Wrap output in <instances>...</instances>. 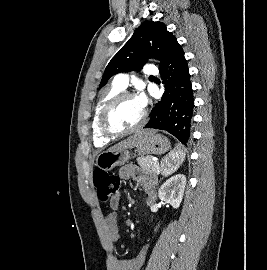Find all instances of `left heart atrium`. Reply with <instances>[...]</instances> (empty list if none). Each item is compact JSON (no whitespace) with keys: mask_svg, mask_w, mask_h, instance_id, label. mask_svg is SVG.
Instances as JSON below:
<instances>
[{"mask_svg":"<svg viewBox=\"0 0 267 270\" xmlns=\"http://www.w3.org/2000/svg\"><path fill=\"white\" fill-rule=\"evenodd\" d=\"M135 100L138 103L139 107L143 110L147 104L146 95L143 92H140L135 98Z\"/></svg>","mask_w":267,"mask_h":270,"instance_id":"left-heart-atrium-1","label":"left heart atrium"}]
</instances>
